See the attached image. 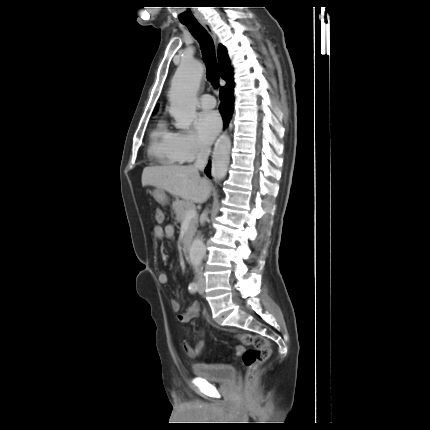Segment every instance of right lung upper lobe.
<instances>
[{
  "label": "right lung upper lobe",
  "instance_id": "right-lung-upper-lobe-1",
  "mask_svg": "<svg viewBox=\"0 0 430 430\" xmlns=\"http://www.w3.org/2000/svg\"><path fill=\"white\" fill-rule=\"evenodd\" d=\"M218 62L220 66L221 77L226 81V85L221 88L222 90L225 87L233 85V74L232 69L229 68V57L226 48L222 45H220L218 49ZM157 108L158 106L154 109V112H156Z\"/></svg>",
  "mask_w": 430,
  "mask_h": 430
}]
</instances>
